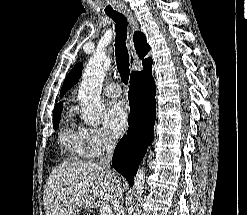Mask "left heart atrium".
<instances>
[{"label":"left heart atrium","instance_id":"39dd6f15","mask_svg":"<svg viewBox=\"0 0 247 215\" xmlns=\"http://www.w3.org/2000/svg\"><path fill=\"white\" fill-rule=\"evenodd\" d=\"M129 110L124 102H113L104 114V123L109 131L119 136L128 126Z\"/></svg>","mask_w":247,"mask_h":215}]
</instances>
